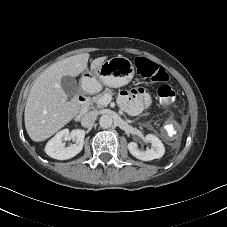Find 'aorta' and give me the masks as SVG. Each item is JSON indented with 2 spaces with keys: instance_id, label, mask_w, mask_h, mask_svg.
Returning a JSON list of instances; mask_svg holds the SVG:
<instances>
[{
  "instance_id": "1",
  "label": "aorta",
  "mask_w": 227,
  "mask_h": 227,
  "mask_svg": "<svg viewBox=\"0 0 227 227\" xmlns=\"http://www.w3.org/2000/svg\"><path fill=\"white\" fill-rule=\"evenodd\" d=\"M113 120L112 117L109 115H102L99 119V125L102 128H110L112 126Z\"/></svg>"
}]
</instances>
